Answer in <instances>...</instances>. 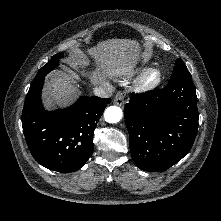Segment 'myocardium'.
I'll return each instance as SVG.
<instances>
[{
  "label": "myocardium",
  "mask_w": 221,
  "mask_h": 221,
  "mask_svg": "<svg viewBox=\"0 0 221 221\" xmlns=\"http://www.w3.org/2000/svg\"><path fill=\"white\" fill-rule=\"evenodd\" d=\"M162 81V73L157 68L147 69L137 81L140 90H151L156 88Z\"/></svg>",
  "instance_id": "myocardium-1"
}]
</instances>
